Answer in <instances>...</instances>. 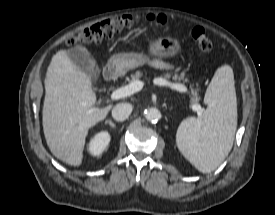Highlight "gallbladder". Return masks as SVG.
<instances>
[{
	"mask_svg": "<svg viewBox=\"0 0 275 215\" xmlns=\"http://www.w3.org/2000/svg\"><path fill=\"white\" fill-rule=\"evenodd\" d=\"M68 57L78 68L88 73L94 81L99 79V71L95 66L90 67V55L80 47L70 48L67 51Z\"/></svg>",
	"mask_w": 275,
	"mask_h": 215,
	"instance_id": "gallbladder-1",
	"label": "gallbladder"
}]
</instances>
